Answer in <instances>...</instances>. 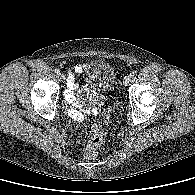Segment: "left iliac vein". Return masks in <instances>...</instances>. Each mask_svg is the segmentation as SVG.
<instances>
[{
	"mask_svg": "<svg viewBox=\"0 0 195 195\" xmlns=\"http://www.w3.org/2000/svg\"><path fill=\"white\" fill-rule=\"evenodd\" d=\"M130 81H131V76H126L124 78L123 83H124L125 86H127V85H129Z\"/></svg>",
	"mask_w": 195,
	"mask_h": 195,
	"instance_id": "4c4485c4",
	"label": "left iliac vein"
}]
</instances>
